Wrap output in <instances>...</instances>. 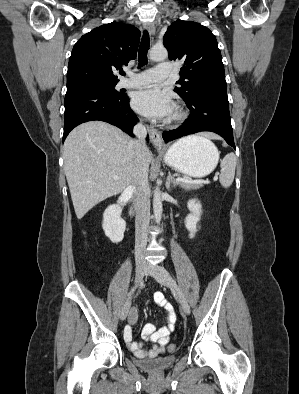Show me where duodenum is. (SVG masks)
Returning a JSON list of instances; mask_svg holds the SVG:
<instances>
[{
	"label": "duodenum",
	"instance_id": "obj_1",
	"mask_svg": "<svg viewBox=\"0 0 299 394\" xmlns=\"http://www.w3.org/2000/svg\"><path fill=\"white\" fill-rule=\"evenodd\" d=\"M134 191H135L134 187L132 186L127 187L120 195L117 201L118 205L120 207H124L126 203L130 200V198L133 196Z\"/></svg>",
	"mask_w": 299,
	"mask_h": 394
}]
</instances>
